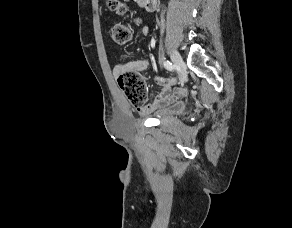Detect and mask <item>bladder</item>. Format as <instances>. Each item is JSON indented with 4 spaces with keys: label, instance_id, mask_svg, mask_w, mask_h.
Wrapping results in <instances>:
<instances>
[{
    "label": "bladder",
    "instance_id": "obj_1",
    "mask_svg": "<svg viewBox=\"0 0 292 228\" xmlns=\"http://www.w3.org/2000/svg\"><path fill=\"white\" fill-rule=\"evenodd\" d=\"M185 111V106L183 103H178L170 108L168 111L161 113L158 118L164 119L166 117H176L181 115Z\"/></svg>",
    "mask_w": 292,
    "mask_h": 228
}]
</instances>
